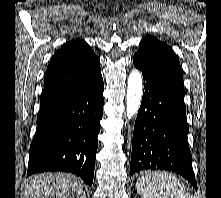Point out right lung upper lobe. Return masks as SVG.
Listing matches in <instances>:
<instances>
[{
	"label": "right lung upper lobe",
	"mask_w": 221,
	"mask_h": 198,
	"mask_svg": "<svg viewBox=\"0 0 221 198\" xmlns=\"http://www.w3.org/2000/svg\"><path fill=\"white\" fill-rule=\"evenodd\" d=\"M100 71L99 59L85 41L65 43L47 67L40 105L81 86Z\"/></svg>",
	"instance_id": "1"
}]
</instances>
